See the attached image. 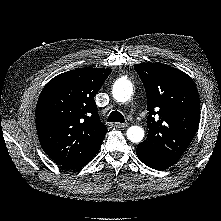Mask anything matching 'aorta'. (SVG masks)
Listing matches in <instances>:
<instances>
[{
  "label": "aorta",
  "instance_id": "1",
  "mask_svg": "<svg viewBox=\"0 0 221 221\" xmlns=\"http://www.w3.org/2000/svg\"><path fill=\"white\" fill-rule=\"evenodd\" d=\"M133 87L128 80H119L113 86V97L118 102H127L132 95ZM127 138L133 143H139L144 138V130L139 126H131L127 130Z\"/></svg>",
  "mask_w": 221,
  "mask_h": 221
}]
</instances>
